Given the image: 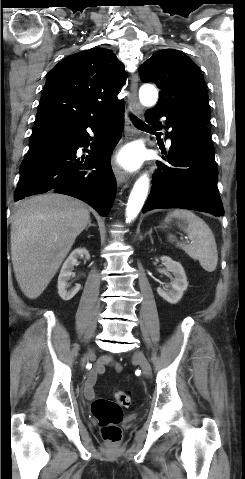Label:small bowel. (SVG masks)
<instances>
[{"instance_id": "obj_1", "label": "small bowel", "mask_w": 245, "mask_h": 479, "mask_svg": "<svg viewBox=\"0 0 245 479\" xmlns=\"http://www.w3.org/2000/svg\"><path fill=\"white\" fill-rule=\"evenodd\" d=\"M105 366H112L117 372H120L122 370L121 365L116 363L112 357H102L100 361L94 366L86 379L84 393L87 398L92 399L95 397L94 387L96 384V380L97 377L104 372Z\"/></svg>"}]
</instances>
